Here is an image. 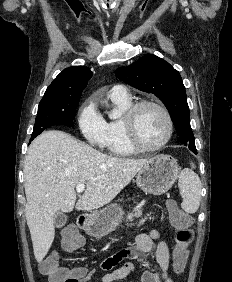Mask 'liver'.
<instances>
[{"label": "liver", "instance_id": "liver-1", "mask_svg": "<svg viewBox=\"0 0 232 282\" xmlns=\"http://www.w3.org/2000/svg\"><path fill=\"white\" fill-rule=\"evenodd\" d=\"M148 159L103 154L60 130H48L30 144L24 165L25 214L37 262L55 236L57 211H91L110 203ZM86 184L76 203L75 188ZM76 203V204H75Z\"/></svg>", "mask_w": 232, "mask_h": 282}]
</instances>
